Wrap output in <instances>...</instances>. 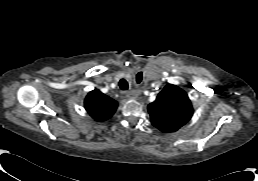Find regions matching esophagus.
<instances>
[{
	"instance_id": "1",
	"label": "esophagus",
	"mask_w": 258,
	"mask_h": 181,
	"mask_svg": "<svg viewBox=\"0 0 258 181\" xmlns=\"http://www.w3.org/2000/svg\"><path fill=\"white\" fill-rule=\"evenodd\" d=\"M136 95H137V93L134 92V91H129V92L127 93V96H128V97H132V98H134Z\"/></svg>"
}]
</instances>
